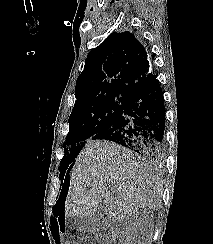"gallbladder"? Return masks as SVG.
<instances>
[{
  "label": "gallbladder",
  "instance_id": "obj_1",
  "mask_svg": "<svg viewBox=\"0 0 213 244\" xmlns=\"http://www.w3.org/2000/svg\"><path fill=\"white\" fill-rule=\"evenodd\" d=\"M113 223L112 218L104 209V206H100L99 209L93 214L77 218L74 225L77 230L82 233H99L108 228Z\"/></svg>",
  "mask_w": 213,
  "mask_h": 244
}]
</instances>
